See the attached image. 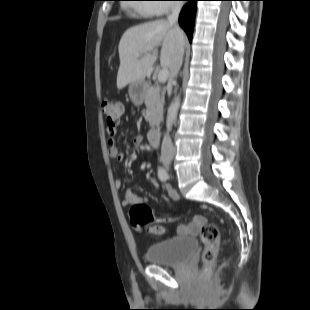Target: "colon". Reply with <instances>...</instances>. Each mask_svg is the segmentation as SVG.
<instances>
[{
    "instance_id": "5ec220e1",
    "label": "colon",
    "mask_w": 310,
    "mask_h": 310,
    "mask_svg": "<svg viewBox=\"0 0 310 310\" xmlns=\"http://www.w3.org/2000/svg\"><path fill=\"white\" fill-rule=\"evenodd\" d=\"M102 110L106 116L107 125L110 127L117 126L119 118L123 113V105L121 102L113 99H105L102 102ZM130 220L133 226L141 227L153 222H169L170 218L155 215L151 209L143 204L136 203L130 209ZM200 237L204 245L202 255L205 272L207 273L210 266L217 259L220 247V233L218 227L213 223H200Z\"/></svg>"
}]
</instances>
